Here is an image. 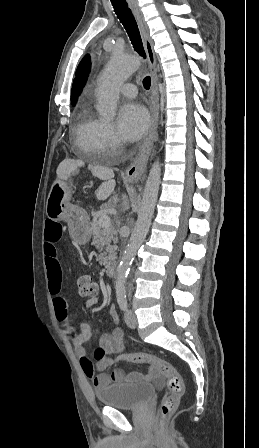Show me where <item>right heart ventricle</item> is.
Here are the masks:
<instances>
[{"instance_id": "1", "label": "right heart ventricle", "mask_w": 259, "mask_h": 448, "mask_svg": "<svg viewBox=\"0 0 259 448\" xmlns=\"http://www.w3.org/2000/svg\"><path fill=\"white\" fill-rule=\"evenodd\" d=\"M102 120L97 116L91 104L84 101L75 117L74 133L76 142L86 152L78 156H84V163L104 162L103 155L98 151V135Z\"/></svg>"}]
</instances>
